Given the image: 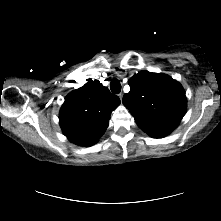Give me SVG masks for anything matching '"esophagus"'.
Instances as JSON below:
<instances>
[{
    "label": "esophagus",
    "mask_w": 221,
    "mask_h": 221,
    "mask_svg": "<svg viewBox=\"0 0 221 221\" xmlns=\"http://www.w3.org/2000/svg\"><path fill=\"white\" fill-rule=\"evenodd\" d=\"M119 98L122 101V98H123V94L122 93L119 94Z\"/></svg>",
    "instance_id": "34e87169"
}]
</instances>
